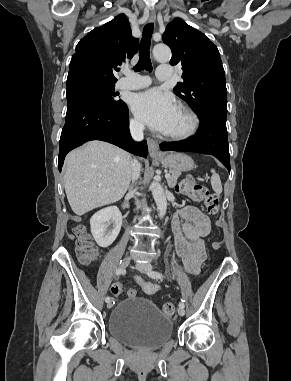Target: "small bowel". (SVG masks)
<instances>
[{
  "label": "small bowel",
  "instance_id": "c3829d8e",
  "mask_svg": "<svg viewBox=\"0 0 291 381\" xmlns=\"http://www.w3.org/2000/svg\"><path fill=\"white\" fill-rule=\"evenodd\" d=\"M181 220L184 221L182 224ZM172 232L175 250L183 259L186 271L197 274L205 259V238L210 232L208 217L198 208L186 206L174 217ZM135 280L146 294L151 295L158 290L157 284L139 276Z\"/></svg>",
  "mask_w": 291,
  "mask_h": 381
}]
</instances>
